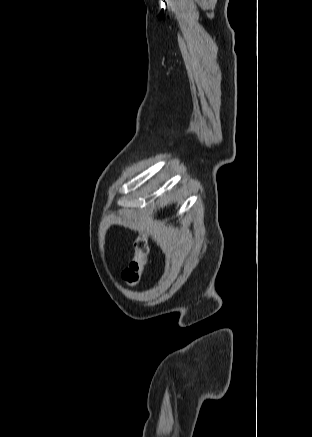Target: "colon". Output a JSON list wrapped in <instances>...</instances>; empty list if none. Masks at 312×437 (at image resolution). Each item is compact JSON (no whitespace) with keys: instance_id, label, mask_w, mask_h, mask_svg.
I'll return each mask as SVG.
<instances>
[{"instance_id":"1","label":"colon","mask_w":312,"mask_h":437,"mask_svg":"<svg viewBox=\"0 0 312 437\" xmlns=\"http://www.w3.org/2000/svg\"><path fill=\"white\" fill-rule=\"evenodd\" d=\"M134 248V257L121 273L122 280L130 286H134L139 282L143 269L147 264L149 255L148 237L145 234H139L135 239Z\"/></svg>"}]
</instances>
